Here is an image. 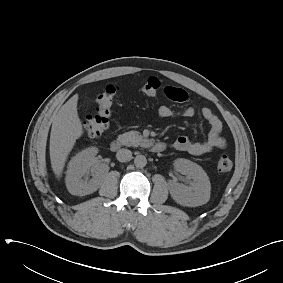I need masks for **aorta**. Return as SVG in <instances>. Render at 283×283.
Returning a JSON list of instances; mask_svg holds the SVG:
<instances>
[{
  "label": "aorta",
  "instance_id": "aorta-1",
  "mask_svg": "<svg viewBox=\"0 0 283 283\" xmlns=\"http://www.w3.org/2000/svg\"><path fill=\"white\" fill-rule=\"evenodd\" d=\"M134 164L138 168H143L147 164V159L144 155H137L134 159Z\"/></svg>",
  "mask_w": 283,
  "mask_h": 283
}]
</instances>
